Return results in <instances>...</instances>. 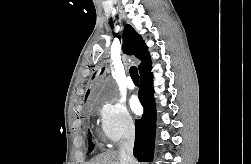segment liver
I'll list each match as a JSON object with an SVG mask.
<instances>
[{"label":"liver","instance_id":"obj_1","mask_svg":"<svg viewBox=\"0 0 251 164\" xmlns=\"http://www.w3.org/2000/svg\"><path fill=\"white\" fill-rule=\"evenodd\" d=\"M87 164H122V162L119 151L110 150L97 155Z\"/></svg>","mask_w":251,"mask_h":164}]
</instances>
